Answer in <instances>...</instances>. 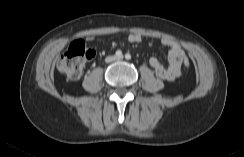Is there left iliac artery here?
Here are the masks:
<instances>
[{
  "label": "left iliac artery",
  "mask_w": 244,
  "mask_h": 157,
  "mask_svg": "<svg viewBox=\"0 0 244 157\" xmlns=\"http://www.w3.org/2000/svg\"><path fill=\"white\" fill-rule=\"evenodd\" d=\"M125 58H126L127 60H130V59H131V55H130L129 53H127V54H125Z\"/></svg>",
  "instance_id": "left-iliac-artery-1"
}]
</instances>
